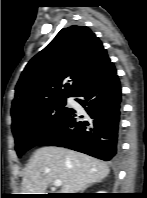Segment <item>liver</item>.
I'll return each mask as SVG.
<instances>
[{
	"mask_svg": "<svg viewBox=\"0 0 147 198\" xmlns=\"http://www.w3.org/2000/svg\"><path fill=\"white\" fill-rule=\"evenodd\" d=\"M109 166L96 158L70 149L45 146L36 150L24 171L22 194H45L50 183L62 181L61 193H77L104 179Z\"/></svg>",
	"mask_w": 147,
	"mask_h": 198,
	"instance_id": "obj_1",
	"label": "liver"
}]
</instances>
